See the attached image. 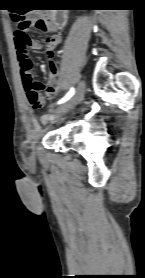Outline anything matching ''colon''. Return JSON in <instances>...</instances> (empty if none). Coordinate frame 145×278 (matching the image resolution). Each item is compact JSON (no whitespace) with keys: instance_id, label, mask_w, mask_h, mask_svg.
I'll return each instance as SVG.
<instances>
[{"instance_id":"colon-1","label":"colon","mask_w":145,"mask_h":278,"mask_svg":"<svg viewBox=\"0 0 145 278\" xmlns=\"http://www.w3.org/2000/svg\"><path fill=\"white\" fill-rule=\"evenodd\" d=\"M49 18H34L33 21H17L14 29V35L17 39V54L19 58H23L27 55L30 48L29 38L25 31L31 28L36 31H45L49 25ZM27 89V98L30 105L33 108H41L43 106V99L41 95V87L35 83L34 78L31 76L27 78L25 83Z\"/></svg>"}]
</instances>
